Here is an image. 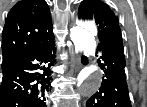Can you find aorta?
Wrapping results in <instances>:
<instances>
[{
    "label": "aorta",
    "mask_w": 147,
    "mask_h": 107,
    "mask_svg": "<svg viewBox=\"0 0 147 107\" xmlns=\"http://www.w3.org/2000/svg\"><path fill=\"white\" fill-rule=\"evenodd\" d=\"M96 27L93 23H81L71 28L70 37L75 48L83 53L84 56H91L96 50L94 33ZM102 73L89 67L83 68L78 75V84L82 96L94 94L100 87Z\"/></svg>",
    "instance_id": "762f6f07"
}]
</instances>
